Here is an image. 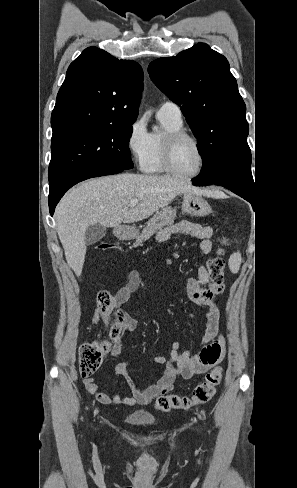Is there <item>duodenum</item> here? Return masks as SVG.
I'll list each match as a JSON object with an SVG mask.
<instances>
[{"mask_svg":"<svg viewBox=\"0 0 297 488\" xmlns=\"http://www.w3.org/2000/svg\"><path fill=\"white\" fill-rule=\"evenodd\" d=\"M117 235L120 239L125 240L129 237V231L125 227H119L117 229Z\"/></svg>","mask_w":297,"mask_h":488,"instance_id":"410a0bca","label":"duodenum"}]
</instances>
